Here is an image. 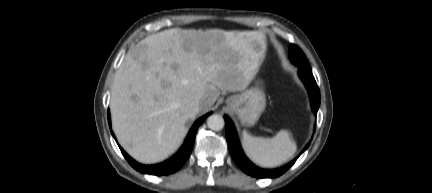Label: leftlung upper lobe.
I'll return each instance as SVG.
<instances>
[{
	"label": "left lung upper lobe",
	"instance_id": "5c2ea615",
	"mask_svg": "<svg viewBox=\"0 0 432 193\" xmlns=\"http://www.w3.org/2000/svg\"><path fill=\"white\" fill-rule=\"evenodd\" d=\"M290 60L292 63L299 67L309 68L308 61L304 55V53L301 51V49L296 45L290 46V54H289Z\"/></svg>",
	"mask_w": 432,
	"mask_h": 193
}]
</instances>
